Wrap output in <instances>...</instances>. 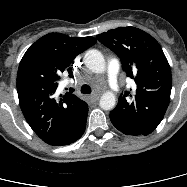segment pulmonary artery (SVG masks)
Returning <instances> with one entry per match:
<instances>
[{"label": "pulmonary artery", "mask_w": 187, "mask_h": 187, "mask_svg": "<svg viewBox=\"0 0 187 187\" xmlns=\"http://www.w3.org/2000/svg\"><path fill=\"white\" fill-rule=\"evenodd\" d=\"M119 71V65L116 60H111L108 64L107 78L109 85L112 89L117 88V75Z\"/></svg>", "instance_id": "pulmonary-artery-1"}]
</instances>
